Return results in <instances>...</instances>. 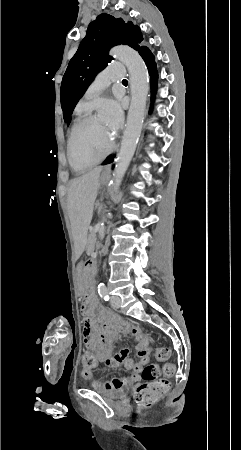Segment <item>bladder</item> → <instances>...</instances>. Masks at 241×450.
<instances>
[{"mask_svg": "<svg viewBox=\"0 0 241 450\" xmlns=\"http://www.w3.org/2000/svg\"><path fill=\"white\" fill-rule=\"evenodd\" d=\"M106 397L119 399L122 398L124 395L120 391H106L103 393Z\"/></svg>", "mask_w": 241, "mask_h": 450, "instance_id": "31cf9c89", "label": "bladder"}]
</instances>
